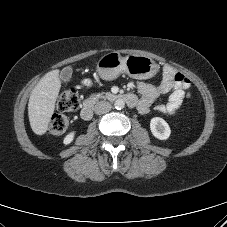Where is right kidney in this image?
I'll return each mask as SVG.
<instances>
[{
    "label": "right kidney",
    "instance_id": "1",
    "mask_svg": "<svg viewBox=\"0 0 227 227\" xmlns=\"http://www.w3.org/2000/svg\"><path fill=\"white\" fill-rule=\"evenodd\" d=\"M74 136H75V131H72V132L68 133V134L65 136V138H64V140H63V143H64L65 145L70 144V143L73 141Z\"/></svg>",
    "mask_w": 227,
    "mask_h": 227
}]
</instances>
